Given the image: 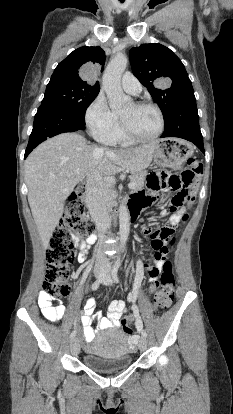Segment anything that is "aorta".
<instances>
[{
    "label": "aorta",
    "instance_id": "1",
    "mask_svg": "<svg viewBox=\"0 0 233 414\" xmlns=\"http://www.w3.org/2000/svg\"><path fill=\"white\" fill-rule=\"evenodd\" d=\"M128 59L123 54H117L107 65L103 74V89L109 99L112 110L121 109L131 104L130 96L125 95L121 88V77L127 67ZM120 242L124 246L130 231V217L127 207H119Z\"/></svg>",
    "mask_w": 233,
    "mask_h": 414
}]
</instances>
